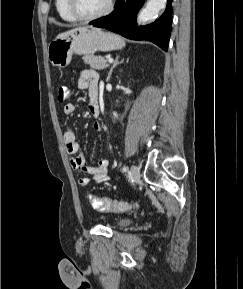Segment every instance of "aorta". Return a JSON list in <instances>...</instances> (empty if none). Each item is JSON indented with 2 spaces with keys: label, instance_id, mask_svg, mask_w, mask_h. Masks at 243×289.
Here are the masks:
<instances>
[{
  "label": "aorta",
  "instance_id": "aorta-1",
  "mask_svg": "<svg viewBox=\"0 0 243 289\" xmlns=\"http://www.w3.org/2000/svg\"><path fill=\"white\" fill-rule=\"evenodd\" d=\"M166 0H149L144 9L138 15L137 21L140 24L154 20L159 12L165 7Z\"/></svg>",
  "mask_w": 243,
  "mask_h": 289
}]
</instances>
